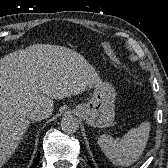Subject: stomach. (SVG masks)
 <instances>
[{
	"mask_svg": "<svg viewBox=\"0 0 168 168\" xmlns=\"http://www.w3.org/2000/svg\"><path fill=\"white\" fill-rule=\"evenodd\" d=\"M115 97L113 86L108 82H100L95 85L92 98L77 105L76 110L89 126L109 127L115 118Z\"/></svg>",
	"mask_w": 168,
	"mask_h": 168,
	"instance_id": "stomach-1",
	"label": "stomach"
}]
</instances>
